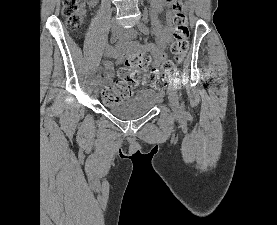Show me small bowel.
<instances>
[{"label": "small bowel", "mask_w": 277, "mask_h": 225, "mask_svg": "<svg viewBox=\"0 0 277 225\" xmlns=\"http://www.w3.org/2000/svg\"><path fill=\"white\" fill-rule=\"evenodd\" d=\"M153 10V27L157 35L158 43L148 44L143 49L146 50L153 57V66L158 67L166 59L165 48L170 41L172 24L171 13L167 14L166 24L163 25L159 15L167 8L171 7L173 0H151ZM131 48H139L138 45L131 44ZM104 56L113 57L117 62H121L123 59L122 46L108 47L104 52ZM114 65L112 61L107 60L104 62L102 72L99 75V81L101 85L109 83L113 76Z\"/></svg>", "instance_id": "c3829d8e"}]
</instances>
